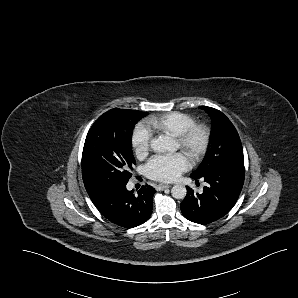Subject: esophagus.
I'll list each match as a JSON object with an SVG mask.
<instances>
[{
	"label": "esophagus",
	"mask_w": 298,
	"mask_h": 298,
	"mask_svg": "<svg viewBox=\"0 0 298 298\" xmlns=\"http://www.w3.org/2000/svg\"><path fill=\"white\" fill-rule=\"evenodd\" d=\"M168 187H170V185H168V184H158V185L156 186V188H157L158 190H163V189L168 188Z\"/></svg>",
	"instance_id": "obj_1"
}]
</instances>
